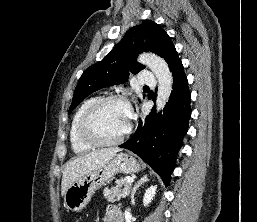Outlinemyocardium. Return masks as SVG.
<instances>
[{
    "label": "myocardium",
    "mask_w": 257,
    "mask_h": 222,
    "mask_svg": "<svg viewBox=\"0 0 257 222\" xmlns=\"http://www.w3.org/2000/svg\"><path fill=\"white\" fill-rule=\"evenodd\" d=\"M120 103L126 106L128 109L130 108L129 102L121 96H107L103 98L97 99L83 114L80 124H79V134L80 137L83 141L86 143L92 145L93 147H110V146H115L123 142L131 133L132 130V124L131 122L129 123L128 128L126 131L119 136L118 138L114 140H103L100 139L92 130L91 128V121L94 117V115L106 104L109 103Z\"/></svg>",
    "instance_id": "f54148a6"
}]
</instances>
